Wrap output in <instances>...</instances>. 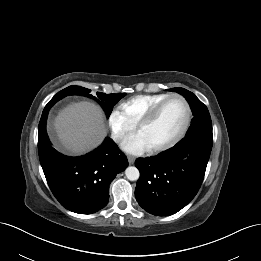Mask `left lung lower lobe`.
I'll return each instance as SVG.
<instances>
[{
    "label": "left lung lower lobe",
    "mask_w": 261,
    "mask_h": 261,
    "mask_svg": "<svg viewBox=\"0 0 261 261\" xmlns=\"http://www.w3.org/2000/svg\"><path fill=\"white\" fill-rule=\"evenodd\" d=\"M212 143V136L189 135L158 156L136 159L139 205L157 216L172 215L185 207L202 184Z\"/></svg>",
    "instance_id": "0a47b994"
}]
</instances>
